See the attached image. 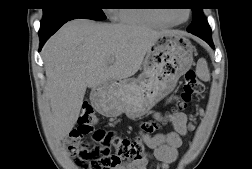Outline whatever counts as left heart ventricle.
Wrapping results in <instances>:
<instances>
[{
	"instance_id": "1",
	"label": "left heart ventricle",
	"mask_w": 252,
	"mask_h": 169,
	"mask_svg": "<svg viewBox=\"0 0 252 169\" xmlns=\"http://www.w3.org/2000/svg\"><path fill=\"white\" fill-rule=\"evenodd\" d=\"M166 16L174 21H182L186 19L187 11L185 9H175L167 11Z\"/></svg>"
}]
</instances>
